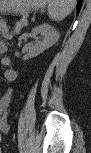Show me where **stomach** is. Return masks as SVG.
<instances>
[{"label": "stomach", "instance_id": "0dacf381", "mask_svg": "<svg viewBox=\"0 0 91 153\" xmlns=\"http://www.w3.org/2000/svg\"><path fill=\"white\" fill-rule=\"evenodd\" d=\"M42 4H45V1L42 0H16V1H8V0H2L1 6H8L13 5L15 12H22L28 9H31L32 7H38Z\"/></svg>", "mask_w": 91, "mask_h": 153}]
</instances>
